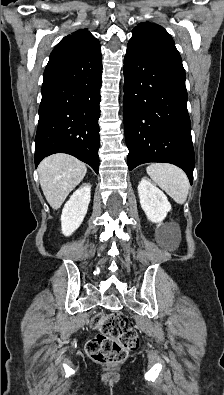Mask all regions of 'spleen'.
Instances as JSON below:
<instances>
[{"mask_svg": "<svg viewBox=\"0 0 224 395\" xmlns=\"http://www.w3.org/2000/svg\"><path fill=\"white\" fill-rule=\"evenodd\" d=\"M151 179L175 202L183 204L189 192V180L185 172L168 163H153L146 168Z\"/></svg>", "mask_w": 224, "mask_h": 395, "instance_id": "spleen-1", "label": "spleen"}]
</instances>
